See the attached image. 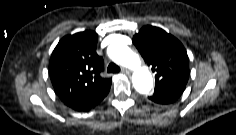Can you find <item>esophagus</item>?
<instances>
[{"mask_svg":"<svg viewBox=\"0 0 236 135\" xmlns=\"http://www.w3.org/2000/svg\"><path fill=\"white\" fill-rule=\"evenodd\" d=\"M122 73L125 74V75H129L130 74V70H128L126 68H123L122 69Z\"/></svg>","mask_w":236,"mask_h":135,"instance_id":"1","label":"esophagus"}]
</instances>
